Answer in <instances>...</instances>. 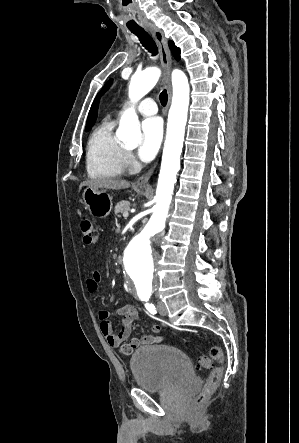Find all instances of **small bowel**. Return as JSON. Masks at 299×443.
<instances>
[{"instance_id": "obj_1", "label": "small bowel", "mask_w": 299, "mask_h": 443, "mask_svg": "<svg viewBox=\"0 0 299 443\" xmlns=\"http://www.w3.org/2000/svg\"><path fill=\"white\" fill-rule=\"evenodd\" d=\"M101 282V274L99 271H93L86 281V289L89 293L98 291ZM116 317L120 319V324L116 328L109 320V312L106 310L98 311L100 320V329L107 343L112 347H120L124 354L131 353L134 349L148 347L163 341V337L156 335L161 330L160 324H153L151 332L153 334L144 335L142 337H132L133 325L138 321V311L135 306L126 304L120 307L116 313ZM129 340L127 343H125Z\"/></svg>"}]
</instances>
